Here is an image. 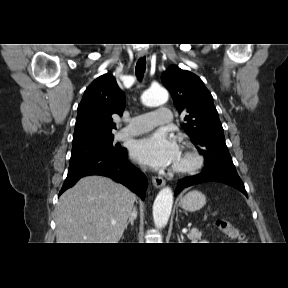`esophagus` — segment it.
Instances as JSON below:
<instances>
[{"mask_svg": "<svg viewBox=\"0 0 288 288\" xmlns=\"http://www.w3.org/2000/svg\"><path fill=\"white\" fill-rule=\"evenodd\" d=\"M146 54H147L146 50H141L138 52L137 55L139 58H141V57H144ZM152 183L156 188H161L165 185V180L162 177L155 176L152 178Z\"/></svg>", "mask_w": 288, "mask_h": 288, "instance_id": "obj_1", "label": "esophagus"}]
</instances>
